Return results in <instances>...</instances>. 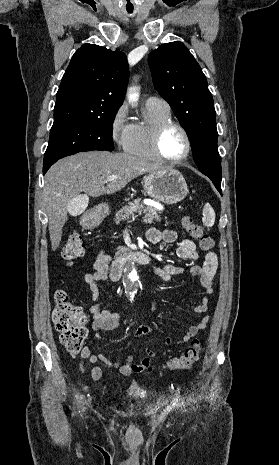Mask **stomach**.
Listing matches in <instances>:
<instances>
[{"label": "stomach", "mask_w": 279, "mask_h": 465, "mask_svg": "<svg viewBox=\"0 0 279 465\" xmlns=\"http://www.w3.org/2000/svg\"><path fill=\"white\" fill-rule=\"evenodd\" d=\"M145 192L153 199L171 205L182 201L187 193V183L180 171L168 167L143 178ZM109 206L101 203L89 211L82 219L86 228H94L101 224L108 215Z\"/></svg>", "instance_id": "1"}]
</instances>
